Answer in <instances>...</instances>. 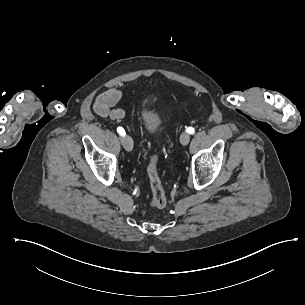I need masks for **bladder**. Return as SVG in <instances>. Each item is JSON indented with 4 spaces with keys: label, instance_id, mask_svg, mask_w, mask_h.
<instances>
[{
    "label": "bladder",
    "instance_id": "obj_1",
    "mask_svg": "<svg viewBox=\"0 0 305 305\" xmlns=\"http://www.w3.org/2000/svg\"><path fill=\"white\" fill-rule=\"evenodd\" d=\"M140 120L147 136L162 134L167 129V121L155 106V96L147 94L138 101Z\"/></svg>",
    "mask_w": 305,
    "mask_h": 305
}]
</instances>
